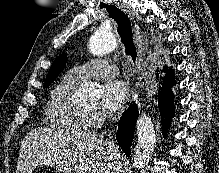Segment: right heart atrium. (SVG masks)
<instances>
[{
  "label": "right heart atrium",
  "mask_w": 219,
  "mask_h": 173,
  "mask_svg": "<svg viewBox=\"0 0 219 173\" xmlns=\"http://www.w3.org/2000/svg\"><path fill=\"white\" fill-rule=\"evenodd\" d=\"M106 120V116L100 112H92L89 115V125L96 127L102 124Z\"/></svg>",
  "instance_id": "d8ad5b80"
}]
</instances>
